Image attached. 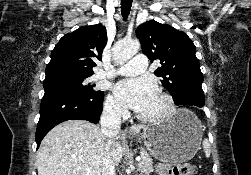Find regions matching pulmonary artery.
I'll return each mask as SVG.
<instances>
[{"label":"pulmonary artery","instance_id":"e3ab8cb5","mask_svg":"<svg viewBox=\"0 0 251 175\" xmlns=\"http://www.w3.org/2000/svg\"><path fill=\"white\" fill-rule=\"evenodd\" d=\"M144 52H137L134 55V62L126 63L112 71L115 75H132L142 76V71L148 67V58H145Z\"/></svg>","mask_w":251,"mask_h":175}]
</instances>
